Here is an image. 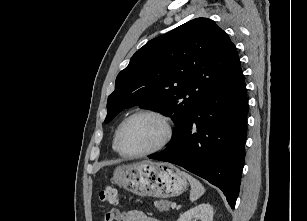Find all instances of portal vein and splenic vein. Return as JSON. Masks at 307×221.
<instances>
[{"label":"portal vein and splenic vein","instance_id":"obj_1","mask_svg":"<svg viewBox=\"0 0 307 221\" xmlns=\"http://www.w3.org/2000/svg\"><path fill=\"white\" fill-rule=\"evenodd\" d=\"M171 208L175 209L176 208V203L171 204Z\"/></svg>","mask_w":307,"mask_h":221}]
</instances>
